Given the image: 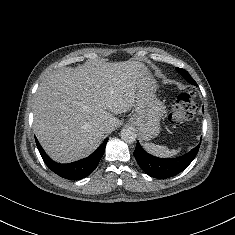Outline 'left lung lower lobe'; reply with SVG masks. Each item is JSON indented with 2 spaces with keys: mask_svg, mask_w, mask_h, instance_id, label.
I'll list each match as a JSON object with an SVG mask.
<instances>
[{
  "mask_svg": "<svg viewBox=\"0 0 235 235\" xmlns=\"http://www.w3.org/2000/svg\"><path fill=\"white\" fill-rule=\"evenodd\" d=\"M200 144L183 156L162 159L145 152L139 142H137L134 157L146 174L154 178L165 179L175 176L186 169L197 155Z\"/></svg>",
  "mask_w": 235,
  "mask_h": 235,
  "instance_id": "0a47b994",
  "label": "left lung lower lobe"
}]
</instances>
